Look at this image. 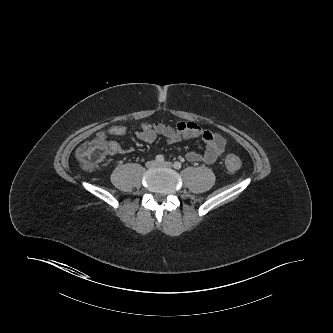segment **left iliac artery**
<instances>
[{
	"instance_id": "1",
	"label": "left iliac artery",
	"mask_w": 333,
	"mask_h": 333,
	"mask_svg": "<svg viewBox=\"0 0 333 333\" xmlns=\"http://www.w3.org/2000/svg\"><path fill=\"white\" fill-rule=\"evenodd\" d=\"M173 166H174L175 169L179 170L182 167V164L177 161V162L174 163Z\"/></svg>"
}]
</instances>
